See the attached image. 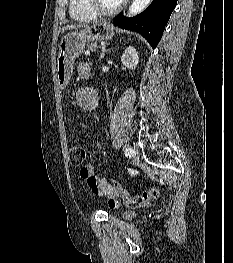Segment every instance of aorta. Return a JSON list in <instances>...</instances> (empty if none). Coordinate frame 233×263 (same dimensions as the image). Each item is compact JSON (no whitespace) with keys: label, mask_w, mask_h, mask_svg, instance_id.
I'll return each mask as SVG.
<instances>
[{"label":"aorta","mask_w":233,"mask_h":263,"mask_svg":"<svg viewBox=\"0 0 233 263\" xmlns=\"http://www.w3.org/2000/svg\"><path fill=\"white\" fill-rule=\"evenodd\" d=\"M152 2V0H134L133 3L130 5L128 10V16L132 17L147 8V6ZM97 95L96 92L91 89L87 88L83 94V104L88 108H92L96 104Z\"/></svg>","instance_id":"aorta-1"}]
</instances>
